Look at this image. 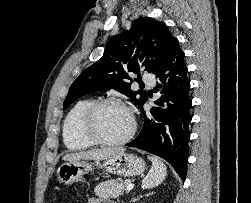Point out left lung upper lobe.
Returning <instances> with one entry per match:
<instances>
[{
  "label": "left lung upper lobe",
  "instance_id": "1",
  "mask_svg": "<svg viewBox=\"0 0 251 203\" xmlns=\"http://www.w3.org/2000/svg\"><path fill=\"white\" fill-rule=\"evenodd\" d=\"M175 39L164 22L152 18L134 20L130 30L111 38L103 56L72 83L63 108L79 97L106 89L118 90L141 108L147 93L131 90L128 72L139 74L143 68L153 73L165 60ZM145 57L156 59L150 61Z\"/></svg>",
  "mask_w": 251,
  "mask_h": 203
}]
</instances>
